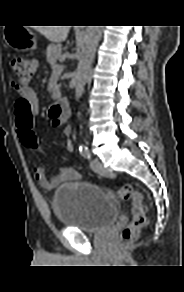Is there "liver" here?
Wrapping results in <instances>:
<instances>
[{
  "instance_id": "obj_1",
  "label": "liver",
  "mask_w": 184,
  "mask_h": 292,
  "mask_svg": "<svg viewBox=\"0 0 184 292\" xmlns=\"http://www.w3.org/2000/svg\"><path fill=\"white\" fill-rule=\"evenodd\" d=\"M70 26H38L36 28L46 39L54 43L66 40Z\"/></svg>"
}]
</instances>
